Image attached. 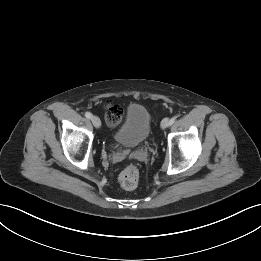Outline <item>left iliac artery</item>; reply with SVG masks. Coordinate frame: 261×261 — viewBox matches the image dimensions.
<instances>
[{
  "label": "left iliac artery",
  "instance_id": "44dca946",
  "mask_svg": "<svg viewBox=\"0 0 261 261\" xmlns=\"http://www.w3.org/2000/svg\"><path fill=\"white\" fill-rule=\"evenodd\" d=\"M175 120H176V117H172V118L170 119V125H172V124L175 122Z\"/></svg>",
  "mask_w": 261,
  "mask_h": 261
}]
</instances>
